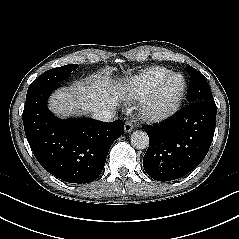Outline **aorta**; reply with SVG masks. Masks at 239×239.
Here are the masks:
<instances>
[{"label":"aorta","mask_w":239,"mask_h":239,"mask_svg":"<svg viewBox=\"0 0 239 239\" xmlns=\"http://www.w3.org/2000/svg\"><path fill=\"white\" fill-rule=\"evenodd\" d=\"M131 144L136 149H146L149 146V137L144 131H135L131 135Z\"/></svg>","instance_id":"aorta-1"}]
</instances>
